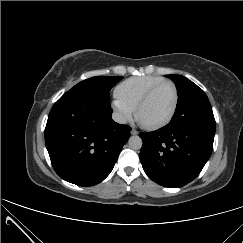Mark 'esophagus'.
<instances>
[{"label": "esophagus", "mask_w": 243, "mask_h": 243, "mask_svg": "<svg viewBox=\"0 0 243 243\" xmlns=\"http://www.w3.org/2000/svg\"><path fill=\"white\" fill-rule=\"evenodd\" d=\"M131 134H132V135H136V134H138V132H137L135 129H133V130L131 131Z\"/></svg>", "instance_id": "1"}]
</instances>
